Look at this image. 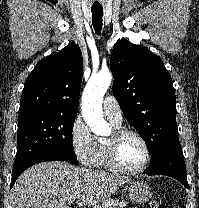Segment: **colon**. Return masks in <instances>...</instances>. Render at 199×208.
Wrapping results in <instances>:
<instances>
[{
  "mask_svg": "<svg viewBox=\"0 0 199 208\" xmlns=\"http://www.w3.org/2000/svg\"><path fill=\"white\" fill-rule=\"evenodd\" d=\"M150 208H167L166 204L159 200H152L150 202Z\"/></svg>",
  "mask_w": 199,
  "mask_h": 208,
  "instance_id": "5ec220e1",
  "label": "colon"
}]
</instances>
